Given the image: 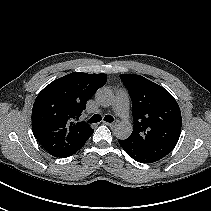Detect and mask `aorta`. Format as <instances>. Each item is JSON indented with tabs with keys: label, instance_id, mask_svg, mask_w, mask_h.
Instances as JSON below:
<instances>
[{
	"label": "aorta",
	"instance_id": "obj_1",
	"mask_svg": "<svg viewBox=\"0 0 211 211\" xmlns=\"http://www.w3.org/2000/svg\"><path fill=\"white\" fill-rule=\"evenodd\" d=\"M96 99L104 106H109L114 101V94L108 88H101L96 93ZM132 133V126L128 122H120L114 128V135L118 139H127Z\"/></svg>",
	"mask_w": 211,
	"mask_h": 211
}]
</instances>
